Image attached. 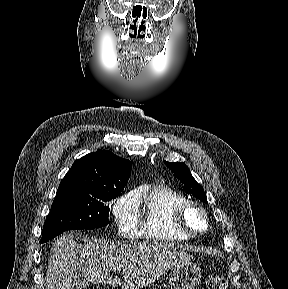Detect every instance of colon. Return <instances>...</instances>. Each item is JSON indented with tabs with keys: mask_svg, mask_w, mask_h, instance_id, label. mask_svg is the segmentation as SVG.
Wrapping results in <instances>:
<instances>
[{
	"mask_svg": "<svg viewBox=\"0 0 288 289\" xmlns=\"http://www.w3.org/2000/svg\"><path fill=\"white\" fill-rule=\"evenodd\" d=\"M206 289H229L228 282L219 275H209L206 279Z\"/></svg>",
	"mask_w": 288,
	"mask_h": 289,
	"instance_id": "obj_1",
	"label": "colon"
}]
</instances>
